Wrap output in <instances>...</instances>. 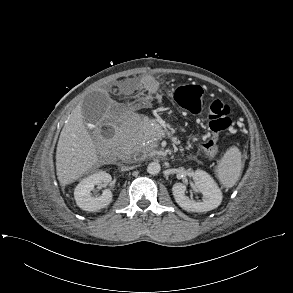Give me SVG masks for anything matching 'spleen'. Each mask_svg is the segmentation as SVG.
<instances>
[{
    "instance_id": "obj_1",
    "label": "spleen",
    "mask_w": 293,
    "mask_h": 293,
    "mask_svg": "<svg viewBox=\"0 0 293 293\" xmlns=\"http://www.w3.org/2000/svg\"><path fill=\"white\" fill-rule=\"evenodd\" d=\"M241 171V153L238 148H229L218 165L217 176L226 187H231Z\"/></svg>"
}]
</instances>
